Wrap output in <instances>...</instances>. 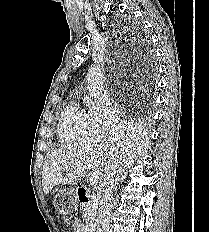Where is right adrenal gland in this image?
<instances>
[{
    "instance_id": "right-adrenal-gland-1",
    "label": "right adrenal gland",
    "mask_w": 209,
    "mask_h": 232,
    "mask_svg": "<svg viewBox=\"0 0 209 232\" xmlns=\"http://www.w3.org/2000/svg\"><path fill=\"white\" fill-rule=\"evenodd\" d=\"M126 174L124 173H119L115 179V183H114V190L118 187L119 182L123 181L125 179Z\"/></svg>"
}]
</instances>
